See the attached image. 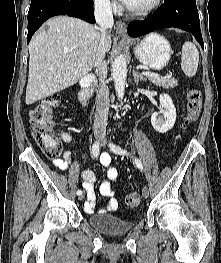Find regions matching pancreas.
<instances>
[{"label":"pancreas","mask_w":221,"mask_h":263,"mask_svg":"<svg viewBox=\"0 0 221 263\" xmlns=\"http://www.w3.org/2000/svg\"><path fill=\"white\" fill-rule=\"evenodd\" d=\"M147 78L156 86L162 87V88H174L178 85L177 79L171 76H164V77H149Z\"/></svg>","instance_id":"1"}]
</instances>
